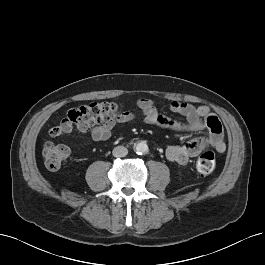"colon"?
I'll use <instances>...</instances> for the list:
<instances>
[{"label":"colon","instance_id":"1","mask_svg":"<svg viewBox=\"0 0 265 265\" xmlns=\"http://www.w3.org/2000/svg\"><path fill=\"white\" fill-rule=\"evenodd\" d=\"M122 115L121 106L113 102H94L70 109L61 122L49 130L51 137H62L73 130L86 132L100 122L116 121ZM211 133L219 135L221 124L214 116L208 118ZM43 159L50 170L59 169L67 160L70 150L66 145L47 143L43 148ZM216 167V157L211 151L202 153L197 161L196 168L202 175L211 174Z\"/></svg>","mask_w":265,"mask_h":265}]
</instances>
